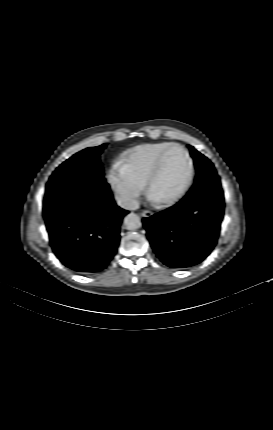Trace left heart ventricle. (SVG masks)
Returning a JSON list of instances; mask_svg holds the SVG:
<instances>
[{"mask_svg":"<svg viewBox=\"0 0 273 430\" xmlns=\"http://www.w3.org/2000/svg\"><path fill=\"white\" fill-rule=\"evenodd\" d=\"M188 173V161L180 149H173L164 158L160 174L155 180L151 196L165 200L173 196L184 183Z\"/></svg>","mask_w":273,"mask_h":430,"instance_id":"1","label":"left heart ventricle"}]
</instances>
